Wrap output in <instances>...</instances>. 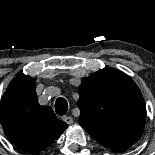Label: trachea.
Instances as JSON below:
<instances>
[{"mask_svg": "<svg viewBox=\"0 0 155 155\" xmlns=\"http://www.w3.org/2000/svg\"><path fill=\"white\" fill-rule=\"evenodd\" d=\"M68 110V104L63 97H59L55 102V111L58 115H65Z\"/></svg>", "mask_w": 155, "mask_h": 155, "instance_id": "3493384b", "label": "trachea"}]
</instances>
